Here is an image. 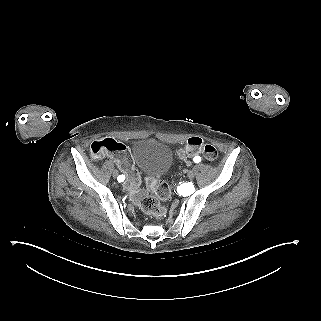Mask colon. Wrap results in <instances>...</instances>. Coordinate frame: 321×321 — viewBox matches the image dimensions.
I'll list each match as a JSON object with an SVG mask.
<instances>
[{
	"instance_id": "5ec220e1",
	"label": "colon",
	"mask_w": 321,
	"mask_h": 321,
	"mask_svg": "<svg viewBox=\"0 0 321 321\" xmlns=\"http://www.w3.org/2000/svg\"><path fill=\"white\" fill-rule=\"evenodd\" d=\"M90 154L94 160L101 159L109 155L118 165L120 170L126 175L123 183L130 199L147 215L162 218L166 214V209L161 205V200L170 197V185L159 178L148 180L149 188L152 194L140 187V176L134 167L131 155L127 147L113 138H105L95 141L91 144ZM178 155L182 159H190L201 156L205 160L213 161L217 158L216 148L199 137L189 138Z\"/></svg>"
}]
</instances>
